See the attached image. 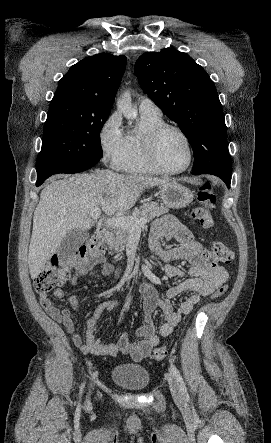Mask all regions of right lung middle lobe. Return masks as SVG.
I'll return each mask as SVG.
<instances>
[{
  "instance_id": "dd1d6c3e",
  "label": "right lung middle lobe",
  "mask_w": 271,
  "mask_h": 443,
  "mask_svg": "<svg viewBox=\"0 0 271 443\" xmlns=\"http://www.w3.org/2000/svg\"><path fill=\"white\" fill-rule=\"evenodd\" d=\"M108 114H90L72 103L50 105L36 170L62 162L102 158L99 139Z\"/></svg>"
}]
</instances>
